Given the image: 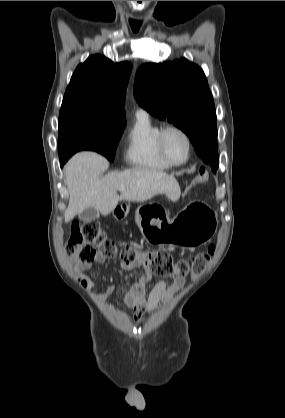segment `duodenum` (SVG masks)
Returning <instances> with one entry per match:
<instances>
[{"label":"duodenum","instance_id":"obj_1","mask_svg":"<svg viewBox=\"0 0 285 418\" xmlns=\"http://www.w3.org/2000/svg\"><path fill=\"white\" fill-rule=\"evenodd\" d=\"M113 212H114L115 217H116L117 220H121L123 218L122 214L118 213L117 208H114Z\"/></svg>","mask_w":285,"mask_h":418}]
</instances>
